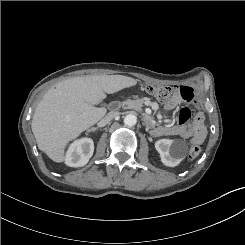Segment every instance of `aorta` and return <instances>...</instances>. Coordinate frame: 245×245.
Here are the masks:
<instances>
[{"mask_svg": "<svg viewBox=\"0 0 245 245\" xmlns=\"http://www.w3.org/2000/svg\"><path fill=\"white\" fill-rule=\"evenodd\" d=\"M137 117L133 114H128L124 117V124L128 127L136 125Z\"/></svg>", "mask_w": 245, "mask_h": 245, "instance_id": "1", "label": "aorta"}]
</instances>
